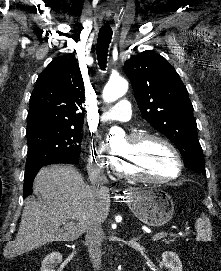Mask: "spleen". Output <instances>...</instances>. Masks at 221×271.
I'll list each match as a JSON object with an SVG mask.
<instances>
[{"label":"spleen","mask_w":221,"mask_h":271,"mask_svg":"<svg viewBox=\"0 0 221 271\" xmlns=\"http://www.w3.org/2000/svg\"><path fill=\"white\" fill-rule=\"evenodd\" d=\"M195 229L197 231V241H211L212 225L209 217L205 213H201L200 217L195 221Z\"/></svg>","instance_id":"3e777b00"}]
</instances>
